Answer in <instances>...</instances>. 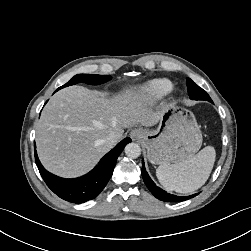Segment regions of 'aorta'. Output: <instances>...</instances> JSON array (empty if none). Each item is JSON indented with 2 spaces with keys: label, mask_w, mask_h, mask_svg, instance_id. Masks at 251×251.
<instances>
[{
  "label": "aorta",
  "mask_w": 251,
  "mask_h": 251,
  "mask_svg": "<svg viewBox=\"0 0 251 251\" xmlns=\"http://www.w3.org/2000/svg\"><path fill=\"white\" fill-rule=\"evenodd\" d=\"M125 154L130 158H138L141 154V148L137 143H128L125 147Z\"/></svg>",
  "instance_id": "1"
}]
</instances>
